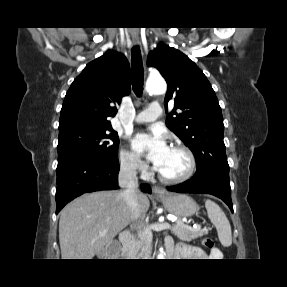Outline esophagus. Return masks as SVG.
<instances>
[{"instance_id":"1","label":"esophagus","mask_w":287,"mask_h":287,"mask_svg":"<svg viewBox=\"0 0 287 287\" xmlns=\"http://www.w3.org/2000/svg\"><path fill=\"white\" fill-rule=\"evenodd\" d=\"M132 41H133V43H134L135 45L140 44V41H139V38H138V37L132 38ZM152 193H153L154 195H163V194H165V189L162 188V187H160V186H153V187H152Z\"/></svg>"}]
</instances>
